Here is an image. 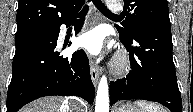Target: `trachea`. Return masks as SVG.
Here are the masks:
<instances>
[{
	"mask_svg": "<svg viewBox=\"0 0 193 112\" xmlns=\"http://www.w3.org/2000/svg\"><path fill=\"white\" fill-rule=\"evenodd\" d=\"M93 4L103 13L109 16H113V17H119L118 15H115L113 13H111L107 7L102 3L101 0H93Z\"/></svg>",
	"mask_w": 193,
	"mask_h": 112,
	"instance_id": "3493384b",
	"label": "trachea"
}]
</instances>
